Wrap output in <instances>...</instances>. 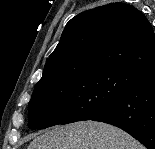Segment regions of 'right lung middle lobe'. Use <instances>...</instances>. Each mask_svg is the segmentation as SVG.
<instances>
[{
  "mask_svg": "<svg viewBox=\"0 0 155 149\" xmlns=\"http://www.w3.org/2000/svg\"><path fill=\"white\" fill-rule=\"evenodd\" d=\"M145 77L129 69H105L40 81L29 102L28 127L90 120Z\"/></svg>",
  "mask_w": 155,
  "mask_h": 149,
  "instance_id": "dd1d6c3e",
  "label": "right lung middle lobe"
}]
</instances>
